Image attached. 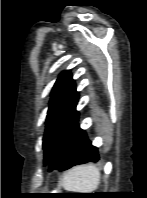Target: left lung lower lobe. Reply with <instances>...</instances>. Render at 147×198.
<instances>
[{
	"label": "left lung lower lobe",
	"mask_w": 147,
	"mask_h": 198,
	"mask_svg": "<svg viewBox=\"0 0 147 198\" xmlns=\"http://www.w3.org/2000/svg\"><path fill=\"white\" fill-rule=\"evenodd\" d=\"M99 160L97 148L91 145L78 120L67 131L48 162L49 171L67 170L72 166Z\"/></svg>",
	"instance_id": "1"
}]
</instances>
